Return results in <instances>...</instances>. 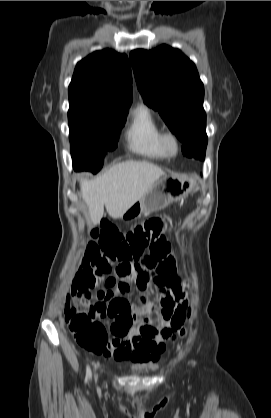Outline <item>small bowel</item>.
Wrapping results in <instances>:
<instances>
[{
  "instance_id": "1",
  "label": "small bowel",
  "mask_w": 271,
  "mask_h": 418,
  "mask_svg": "<svg viewBox=\"0 0 271 418\" xmlns=\"http://www.w3.org/2000/svg\"><path fill=\"white\" fill-rule=\"evenodd\" d=\"M167 245V240L160 237L149 244L148 255L130 262L119 261L114 267L108 259L95 260L90 265L95 283L89 286L84 276L80 283H75L73 290L93 288L105 282V289H99L96 299L82 303L83 309L87 310L90 305L89 313L97 314V323H105L109 328L110 343L95 352L104 359H131L145 364L156 362L164 351L166 337L163 332L170 327L164 312L186 311L187 308L185 291L177 279L175 260L168 253ZM160 262L162 271H159ZM131 283L140 294L141 312L155 315L148 323V316L136 314L137 307L127 295ZM152 284L156 290L153 300L149 291ZM142 328L148 333H143Z\"/></svg>"
}]
</instances>
